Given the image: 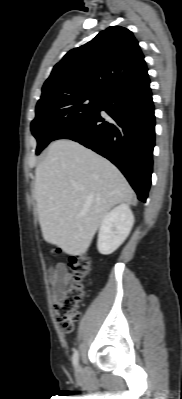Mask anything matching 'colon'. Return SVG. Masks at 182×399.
<instances>
[{
	"instance_id": "5ec220e1",
	"label": "colon",
	"mask_w": 182,
	"mask_h": 399,
	"mask_svg": "<svg viewBox=\"0 0 182 399\" xmlns=\"http://www.w3.org/2000/svg\"><path fill=\"white\" fill-rule=\"evenodd\" d=\"M56 252H60L59 249ZM73 278L56 304V320L65 332H71L78 320L79 307L86 296L85 279L89 275L92 263L86 255L74 257L69 263Z\"/></svg>"
}]
</instances>
